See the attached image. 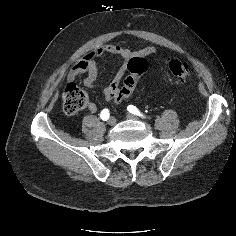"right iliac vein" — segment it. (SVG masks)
Instances as JSON below:
<instances>
[{"label": "right iliac vein", "mask_w": 236, "mask_h": 236, "mask_svg": "<svg viewBox=\"0 0 236 236\" xmlns=\"http://www.w3.org/2000/svg\"><path fill=\"white\" fill-rule=\"evenodd\" d=\"M115 123H116V119H115L114 117H111V118L108 120V124H109L110 126L115 125Z\"/></svg>", "instance_id": "1"}]
</instances>
